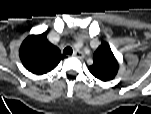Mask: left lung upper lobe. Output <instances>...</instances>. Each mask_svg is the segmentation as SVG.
Returning a JSON list of instances; mask_svg holds the SVG:
<instances>
[{"label": "left lung upper lobe", "mask_w": 151, "mask_h": 114, "mask_svg": "<svg viewBox=\"0 0 151 114\" xmlns=\"http://www.w3.org/2000/svg\"><path fill=\"white\" fill-rule=\"evenodd\" d=\"M89 71L101 81H110L117 75L119 65L109 45L102 42L93 55V65Z\"/></svg>", "instance_id": "obj_1"}]
</instances>
